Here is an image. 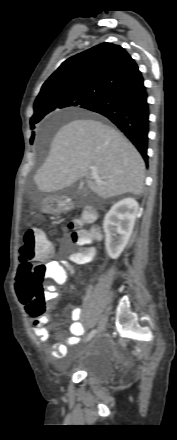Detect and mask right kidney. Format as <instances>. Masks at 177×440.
I'll return each instance as SVG.
<instances>
[{
  "instance_id": "right-kidney-1",
  "label": "right kidney",
  "mask_w": 177,
  "mask_h": 440,
  "mask_svg": "<svg viewBox=\"0 0 177 440\" xmlns=\"http://www.w3.org/2000/svg\"><path fill=\"white\" fill-rule=\"evenodd\" d=\"M138 210L139 205L135 199L125 198L115 203L105 215L103 223L106 237L105 247L111 259H117L126 247L134 228ZM117 234L118 237H116Z\"/></svg>"
}]
</instances>
